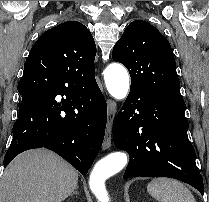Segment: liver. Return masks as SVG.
<instances>
[{"label":"liver","mask_w":209,"mask_h":202,"mask_svg":"<svg viewBox=\"0 0 209 202\" xmlns=\"http://www.w3.org/2000/svg\"><path fill=\"white\" fill-rule=\"evenodd\" d=\"M77 171L55 153L36 149L17 156L0 180V202H61L77 188Z\"/></svg>","instance_id":"obj_1"}]
</instances>
